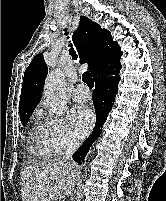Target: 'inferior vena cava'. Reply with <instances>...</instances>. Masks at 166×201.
Wrapping results in <instances>:
<instances>
[{
	"label": "inferior vena cava",
	"mask_w": 166,
	"mask_h": 201,
	"mask_svg": "<svg viewBox=\"0 0 166 201\" xmlns=\"http://www.w3.org/2000/svg\"><path fill=\"white\" fill-rule=\"evenodd\" d=\"M79 148L78 142H70L67 146V150L65 152L64 160L67 161L70 158H72V155L76 152V150Z\"/></svg>",
	"instance_id": "602c4592"
}]
</instances>
